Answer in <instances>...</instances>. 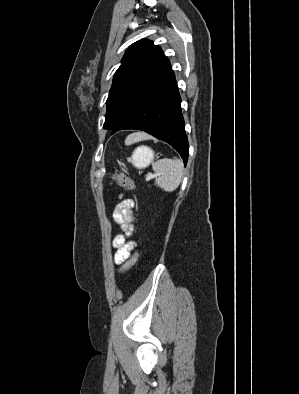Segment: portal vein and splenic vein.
<instances>
[{
    "mask_svg": "<svg viewBox=\"0 0 299 394\" xmlns=\"http://www.w3.org/2000/svg\"><path fill=\"white\" fill-rule=\"evenodd\" d=\"M158 175L157 174H154V175H148L147 176V180H149L150 178H155V177H157Z\"/></svg>",
    "mask_w": 299,
    "mask_h": 394,
    "instance_id": "obj_1",
    "label": "portal vein and splenic vein"
}]
</instances>
